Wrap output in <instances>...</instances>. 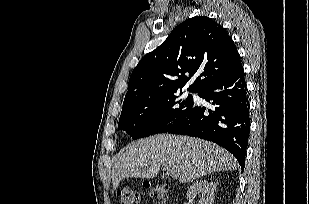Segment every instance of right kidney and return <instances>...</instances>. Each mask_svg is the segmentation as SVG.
Returning <instances> with one entry per match:
<instances>
[{"mask_svg": "<svg viewBox=\"0 0 309 204\" xmlns=\"http://www.w3.org/2000/svg\"><path fill=\"white\" fill-rule=\"evenodd\" d=\"M215 191V183L206 180H200L190 186L186 193V199L189 202H192L197 195L201 194V199L197 204H212Z\"/></svg>", "mask_w": 309, "mask_h": 204, "instance_id": "obj_1", "label": "right kidney"}]
</instances>
